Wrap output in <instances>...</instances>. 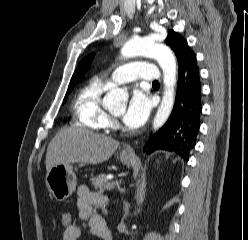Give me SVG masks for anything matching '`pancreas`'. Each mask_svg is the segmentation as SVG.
<instances>
[{"label":"pancreas","instance_id":"pancreas-1","mask_svg":"<svg viewBox=\"0 0 248 240\" xmlns=\"http://www.w3.org/2000/svg\"><path fill=\"white\" fill-rule=\"evenodd\" d=\"M91 182L96 190L104 192L105 189L111 185L113 182H108L105 174H100L97 177L91 178ZM120 191H123L120 189Z\"/></svg>","mask_w":248,"mask_h":240}]
</instances>
